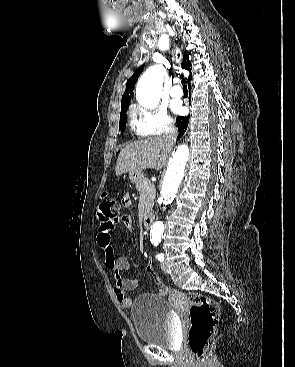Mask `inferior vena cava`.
<instances>
[{"label": "inferior vena cava", "instance_id": "inferior-vena-cava-1", "mask_svg": "<svg viewBox=\"0 0 295 367\" xmlns=\"http://www.w3.org/2000/svg\"><path fill=\"white\" fill-rule=\"evenodd\" d=\"M178 135L177 128L173 124H168L164 130L163 140L167 147L172 149Z\"/></svg>", "mask_w": 295, "mask_h": 367}]
</instances>
